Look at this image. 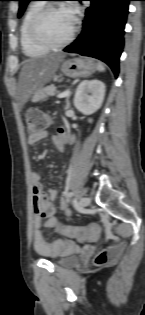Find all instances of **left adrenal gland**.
Here are the masks:
<instances>
[{"label":"left adrenal gland","mask_w":145,"mask_h":315,"mask_svg":"<svg viewBox=\"0 0 145 315\" xmlns=\"http://www.w3.org/2000/svg\"><path fill=\"white\" fill-rule=\"evenodd\" d=\"M71 94H72V92H70V94H69V95L67 96V98H66V108H65V109H69V107H70V101H69V99H70Z\"/></svg>","instance_id":"1"}]
</instances>
